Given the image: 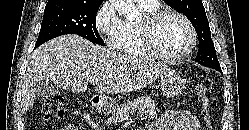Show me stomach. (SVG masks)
I'll return each mask as SVG.
<instances>
[{
	"label": "stomach",
	"instance_id": "0dacf381",
	"mask_svg": "<svg viewBox=\"0 0 249 130\" xmlns=\"http://www.w3.org/2000/svg\"><path fill=\"white\" fill-rule=\"evenodd\" d=\"M159 87L163 96L175 97L182 93L185 81L175 71H171L160 76ZM115 103L116 101L112 98L101 97L97 107L101 111L110 112L115 108Z\"/></svg>",
	"mask_w": 249,
	"mask_h": 130
}]
</instances>
